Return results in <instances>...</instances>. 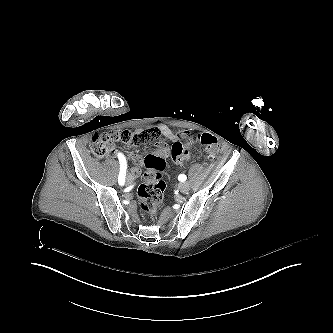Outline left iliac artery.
I'll use <instances>...</instances> for the list:
<instances>
[{
	"mask_svg": "<svg viewBox=\"0 0 333 333\" xmlns=\"http://www.w3.org/2000/svg\"><path fill=\"white\" fill-rule=\"evenodd\" d=\"M178 179H179V181L183 182V181H185V180L187 179V177H186V175H184V174H180V175L178 176Z\"/></svg>",
	"mask_w": 333,
	"mask_h": 333,
	"instance_id": "obj_1",
	"label": "left iliac artery"
}]
</instances>
